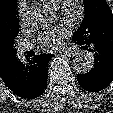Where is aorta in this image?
<instances>
[{"label":"aorta","instance_id":"obj_1","mask_svg":"<svg viewBox=\"0 0 113 113\" xmlns=\"http://www.w3.org/2000/svg\"><path fill=\"white\" fill-rule=\"evenodd\" d=\"M32 15H34L41 24H45L50 20L49 13L43 8L34 9ZM73 66L77 73H88L94 66V57L91 54H79L74 58Z\"/></svg>","mask_w":113,"mask_h":113}]
</instances>
